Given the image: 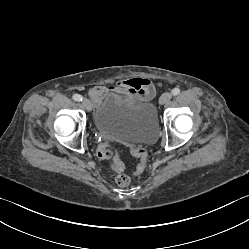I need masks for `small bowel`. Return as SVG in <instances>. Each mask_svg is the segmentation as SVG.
<instances>
[{
	"mask_svg": "<svg viewBox=\"0 0 249 249\" xmlns=\"http://www.w3.org/2000/svg\"><path fill=\"white\" fill-rule=\"evenodd\" d=\"M109 92L122 93L136 101H146L153 97L155 88L147 79L132 78L120 80L110 87L95 86L90 90V95L95 101H101Z\"/></svg>",
	"mask_w": 249,
	"mask_h": 249,
	"instance_id": "obj_1",
	"label": "small bowel"
}]
</instances>
